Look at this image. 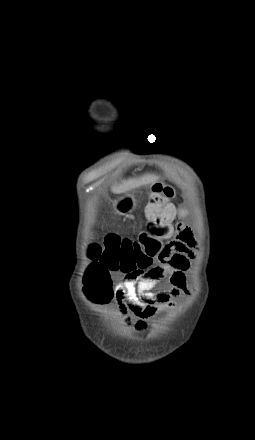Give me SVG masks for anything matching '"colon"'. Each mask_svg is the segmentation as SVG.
I'll return each instance as SVG.
<instances>
[{"mask_svg":"<svg viewBox=\"0 0 255 440\" xmlns=\"http://www.w3.org/2000/svg\"><path fill=\"white\" fill-rule=\"evenodd\" d=\"M173 196L174 190L169 185H154L145 208V229L136 238L107 234L89 246L88 257L95 263L87 272L84 290L90 300L110 301L109 272L143 270L167 255L163 239L173 231L175 208L170 201Z\"/></svg>","mask_w":255,"mask_h":440,"instance_id":"5ec220e1","label":"colon"}]
</instances>
